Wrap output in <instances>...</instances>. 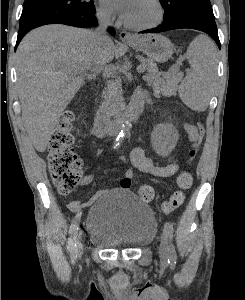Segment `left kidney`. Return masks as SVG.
I'll return each mask as SVG.
<instances>
[{"label": "left kidney", "instance_id": "left-kidney-1", "mask_svg": "<svg viewBox=\"0 0 245 300\" xmlns=\"http://www.w3.org/2000/svg\"><path fill=\"white\" fill-rule=\"evenodd\" d=\"M178 138L177 130L170 124L158 126L152 134L154 147L162 155H167L174 149Z\"/></svg>", "mask_w": 245, "mask_h": 300}]
</instances>
